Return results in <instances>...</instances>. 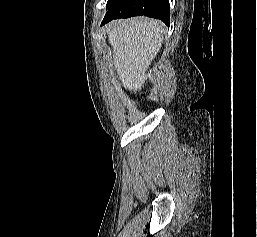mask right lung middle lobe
<instances>
[{
    "mask_svg": "<svg viewBox=\"0 0 257 237\" xmlns=\"http://www.w3.org/2000/svg\"><path fill=\"white\" fill-rule=\"evenodd\" d=\"M114 1H115V0H108V2H107V7H108L109 5H111Z\"/></svg>",
    "mask_w": 257,
    "mask_h": 237,
    "instance_id": "obj_1",
    "label": "right lung middle lobe"
}]
</instances>
